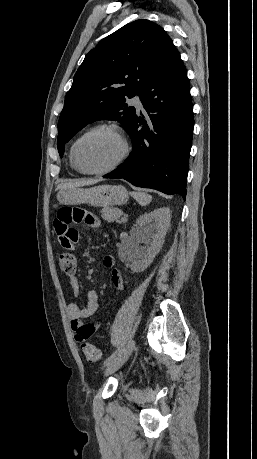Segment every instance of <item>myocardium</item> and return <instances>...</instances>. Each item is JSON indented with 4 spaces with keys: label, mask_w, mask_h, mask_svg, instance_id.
<instances>
[{
    "label": "myocardium",
    "mask_w": 257,
    "mask_h": 459,
    "mask_svg": "<svg viewBox=\"0 0 257 459\" xmlns=\"http://www.w3.org/2000/svg\"><path fill=\"white\" fill-rule=\"evenodd\" d=\"M102 130L110 131L118 137V139L120 140L122 144V152L120 156L116 159V161L112 163L111 165H109L108 167H105L102 169H96V170L85 169L80 165L77 159V147L83 139H85L86 137H88L89 135L95 132L102 131ZM129 151H130L129 143L122 129L115 124L103 123V124H98L96 126H93L92 128L87 130L85 133H83L80 137L76 139V141L73 143L71 147V159L73 161L74 166L79 172L83 174H89V175H103V174L110 173L116 170L118 167H120L122 163L128 157Z\"/></svg>",
    "instance_id": "obj_1"
}]
</instances>
